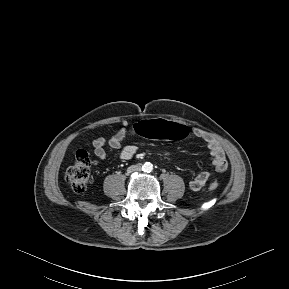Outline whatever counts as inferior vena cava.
<instances>
[{"mask_svg":"<svg viewBox=\"0 0 289 289\" xmlns=\"http://www.w3.org/2000/svg\"><path fill=\"white\" fill-rule=\"evenodd\" d=\"M139 171H141V166L140 165H131L127 169L128 173L139 172Z\"/></svg>","mask_w":289,"mask_h":289,"instance_id":"602c4592","label":"inferior vena cava"}]
</instances>
